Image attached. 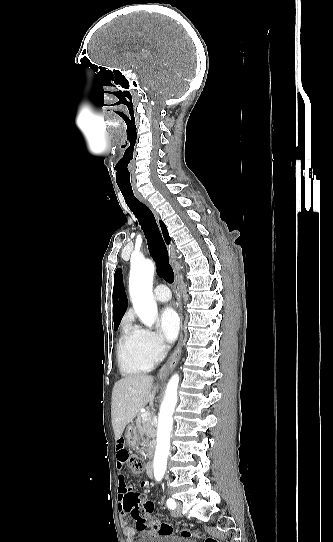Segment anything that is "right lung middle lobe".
<instances>
[{"instance_id": "right-lung-middle-lobe-1", "label": "right lung middle lobe", "mask_w": 333, "mask_h": 542, "mask_svg": "<svg viewBox=\"0 0 333 542\" xmlns=\"http://www.w3.org/2000/svg\"><path fill=\"white\" fill-rule=\"evenodd\" d=\"M114 329L117 330V329H118V326H114Z\"/></svg>"}]
</instances>
